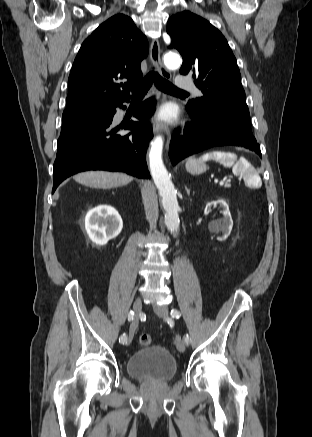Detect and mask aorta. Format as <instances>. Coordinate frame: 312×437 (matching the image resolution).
I'll return each mask as SVG.
<instances>
[{
  "instance_id": "obj_1",
  "label": "aorta",
  "mask_w": 312,
  "mask_h": 437,
  "mask_svg": "<svg viewBox=\"0 0 312 437\" xmlns=\"http://www.w3.org/2000/svg\"><path fill=\"white\" fill-rule=\"evenodd\" d=\"M181 58L178 54L168 53L164 57V63L169 69H176L181 65ZM163 138L158 136L151 143L149 152V168L154 183L161 197V203L165 210V225L169 231L177 233L180 226L178 216L179 205L176 191L170 180L162 160Z\"/></svg>"
}]
</instances>
